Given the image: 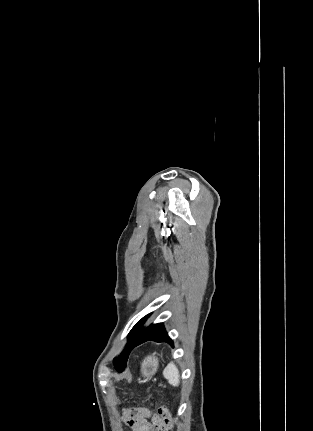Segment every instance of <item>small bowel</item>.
<instances>
[{
  "instance_id": "1",
  "label": "small bowel",
  "mask_w": 313,
  "mask_h": 431,
  "mask_svg": "<svg viewBox=\"0 0 313 431\" xmlns=\"http://www.w3.org/2000/svg\"><path fill=\"white\" fill-rule=\"evenodd\" d=\"M124 421L133 431H155L159 418L147 408H138L125 412Z\"/></svg>"
}]
</instances>
